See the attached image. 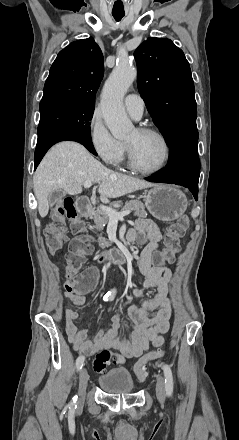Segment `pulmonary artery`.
<instances>
[{
	"label": "pulmonary artery",
	"instance_id": "pulmonary-artery-1",
	"mask_svg": "<svg viewBox=\"0 0 239 440\" xmlns=\"http://www.w3.org/2000/svg\"><path fill=\"white\" fill-rule=\"evenodd\" d=\"M124 105L128 113L135 119H139L144 110V101L137 94H128L124 99Z\"/></svg>",
	"mask_w": 239,
	"mask_h": 440
}]
</instances>
